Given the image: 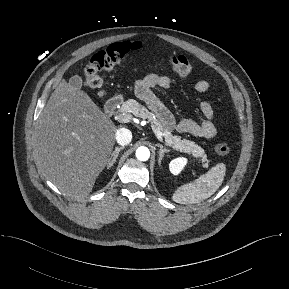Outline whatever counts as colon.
<instances>
[{"label":"colon","instance_id":"1","mask_svg":"<svg viewBox=\"0 0 289 289\" xmlns=\"http://www.w3.org/2000/svg\"><path fill=\"white\" fill-rule=\"evenodd\" d=\"M141 48V42L126 41L114 43L106 49L98 51L84 68L85 85L97 95H102L100 73L113 70L116 66L124 63L129 54ZM167 63L171 70L179 76L186 77L192 72V64L184 55H172L168 58ZM214 151L216 154L224 156L230 153V146L220 141L215 144Z\"/></svg>","mask_w":289,"mask_h":289}]
</instances>
